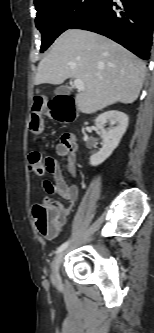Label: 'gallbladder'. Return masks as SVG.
I'll list each match as a JSON object with an SVG mask.
<instances>
[{"label":"gallbladder","instance_id":"bac80fb5","mask_svg":"<svg viewBox=\"0 0 154 333\" xmlns=\"http://www.w3.org/2000/svg\"><path fill=\"white\" fill-rule=\"evenodd\" d=\"M55 94H57V95L69 94V89L67 86H59L55 89Z\"/></svg>","mask_w":154,"mask_h":333}]
</instances>
